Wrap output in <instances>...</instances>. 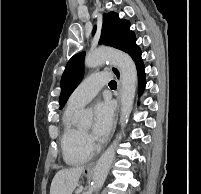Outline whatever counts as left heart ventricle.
<instances>
[{"label":"left heart ventricle","instance_id":"obj_1","mask_svg":"<svg viewBox=\"0 0 201 194\" xmlns=\"http://www.w3.org/2000/svg\"><path fill=\"white\" fill-rule=\"evenodd\" d=\"M89 128H90V126H87V127L84 128V130L87 131V130H89Z\"/></svg>","mask_w":201,"mask_h":194}]
</instances>
